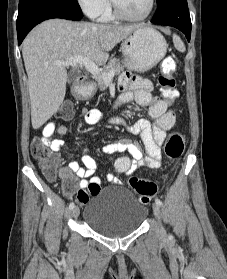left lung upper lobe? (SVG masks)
<instances>
[{
	"label": "left lung upper lobe",
	"instance_id": "1",
	"mask_svg": "<svg viewBox=\"0 0 227 279\" xmlns=\"http://www.w3.org/2000/svg\"><path fill=\"white\" fill-rule=\"evenodd\" d=\"M165 0H157V4L160 5L161 3H163Z\"/></svg>",
	"mask_w": 227,
	"mask_h": 279
}]
</instances>
